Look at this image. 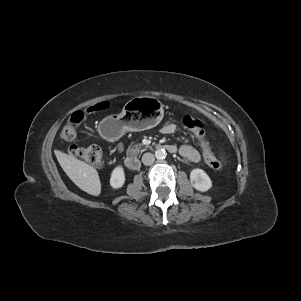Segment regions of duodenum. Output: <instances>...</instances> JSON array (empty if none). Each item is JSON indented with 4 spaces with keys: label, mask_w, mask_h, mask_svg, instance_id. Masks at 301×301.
Returning <instances> with one entry per match:
<instances>
[{
    "label": "duodenum",
    "mask_w": 301,
    "mask_h": 301,
    "mask_svg": "<svg viewBox=\"0 0 301 301\" xmlns=\"http://www.w3.org/2000/svg\"><path fill=\"white\" fill-rule=\"evenodd\" d=\"M157 146L160 147V148H164L166 151H168L170 153H176L177 152V148L174 145L158 144ZM124 165L129 170H136L139 167V161L133 156H128L124 160Z\"/></svg>",
    "instance_id": "410a0bca"
}]
</instances>
